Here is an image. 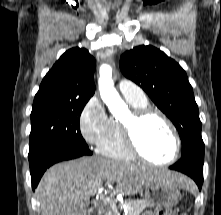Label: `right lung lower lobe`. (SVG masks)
Wrapping results in <instances>:
<instances>
[{
	"label": "right lung lower lobe",
	"mask_w": 221,
	"mask_h": 215,
	"mask_svg": "<svg viewBox=\"0 0 221 215\" xmlns=\"http://www.w3.org/2000/svg\"><path fill=\"white\" fill-rule=\"evenodd\" d=\"M88 146L58 145L50 147L29 160L33 190L37 187L43 173L53 164L91 155Z\"/></svg>",
	"instance_id": "98d812e1"
}]
</instances>
